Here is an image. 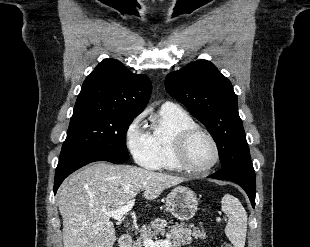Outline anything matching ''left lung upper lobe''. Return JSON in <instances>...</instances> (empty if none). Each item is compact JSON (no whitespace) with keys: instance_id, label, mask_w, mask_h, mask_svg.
Wrapping results in <instances>:
<instances>
[{"instance_id":"left-lung-upper-lobe-1","label":"left lung upper lobe","mask_w":310,"mask_h":247,"mask_svg":"<svg viewBox=\"0 0 310 247\" xmlns=\"http://www.w3.org/2000/svg\"><path fill=\"white\" fill-rule=\"evenodd\" d=\"M165 87L207 127L217 144L222 168L250 159L237 96L231 82L211 62L198 60L169 73Z\"/></svg>"}]
</instances>
